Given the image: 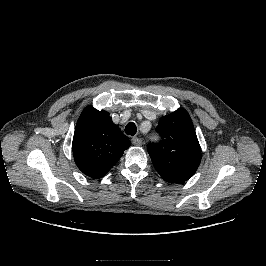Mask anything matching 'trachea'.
<instances>
[{"mask_svg":"<svg viewBox=\"0 0 266 266\" xmlns=\"http://www.w3.org/2000/svg\"><path fill=\"white\" fill-rule=\"evenodd\" d=\"M137 132V127L135 123L129 122L125 127V133L128 135H135Z\"/></svg>","mask_w":266,"mask_h":266,"instance_id":"obj_1","label":"trachea"}]
</instances>
